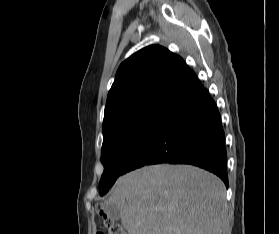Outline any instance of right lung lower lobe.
<instances>
[{"mask_svg":"<svg viewBox=\"0 0 279 234\" xmlns=\"http://www.w3.org/2000/svg\"><path fill=\"white\" fill-rule=\"evenodd\" d=\"M191 164L219 176L228 187L221 117L198 80L166 111L126 163L123 174L145 165Z\"/></svg>","mask_w":279,"mask_h":234,"instance_id":"1","label":"right lung lower lobe"}]
</instances>
